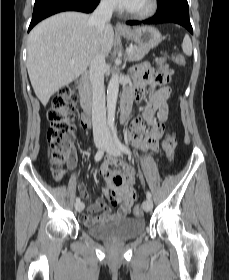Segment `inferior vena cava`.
<instances>
[{"label":"inferior vena cava","mask_w":229,"mask_h":280,"mask_svg":"<svg viewBox=\"0 0 229 280\" xmlns=\"http://www.w3.org/2000/svg\"><path fill=\"white\" fill-rule=\"evenodd\" d=\"M114 9L112 0H101L92 13L89 23L101 33L111 20ZM105 55L97 53L89 66V79L92 85V124L95 136H106L109 133L106 123L104 72Z\"/></svg>","instance_id":"602c4592"}]
</instances>
